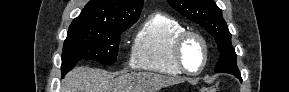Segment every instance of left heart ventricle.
I'll return each instance as SVG.
<instances>
[{
  "label": "left heart ventricle",
  "instance_id": "b2bd125f",
  "mask_svg": "<svg viewBox=\"0 0 289 92\" xmlns=\"http://www.w3.org/2000/svg\"><path fill=\"white\" fill-rule=\"evenodd\" d=\"M182 57L185 66L192 71L197 70L203 59L202 46L196 39H189L183 48Z\"/></svg>",
  "mask_w": 289,
  "mask_h": 92
}]
</instances>
